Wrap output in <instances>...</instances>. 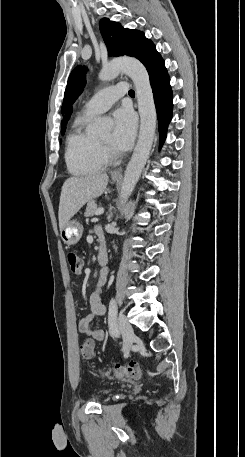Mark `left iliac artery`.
<instances>
[{"mask_svg": "<svg viewBox=\"0 0 245 457\" xmlns=\"http://www.w3.org/2000/svg\"><path fill=\"white\" fill-rule=\"evenodd\" d=\"M116 316H117V302L112 298L109 302V311H108V325L109 331L113 336H117L118 331L116 328Z\"/></svg>", "mask_w": 245, "mask_h": 457, "instance_id": "44dca946", "label": "left iliac artery"}]
</instances>
